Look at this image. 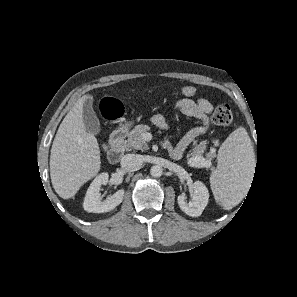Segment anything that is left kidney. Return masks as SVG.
<instances>
[{
  "mask_svg": "<svg viewBox=\"0 0 297 297\" xmlns=\"http://www.w3.org/2000/svg\"><path fill=\"white\" fill-rule=\"evenodd\" d=\"M194 195L192 202L187 203L185 195L178 196L177 201L180 209L187 215L198 217L202 214L209 200L207 187L200 181L193 184Z\"/></svg>",
  "mask_w": 297,
  "mask_h": 297,
  "instance_id": "1",
  "label": "left kidney"
}]
</instances>
